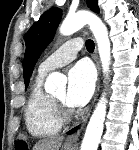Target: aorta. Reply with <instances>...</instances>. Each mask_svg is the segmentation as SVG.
I'll return each instance as SVG.
<instances>
[{"mask_svg": "<svg viewBox=\"0 0 139 150\" xmlns=\"http://www.w3.org/2000/svg\"><path fill=\"white\" fill-rule=\"evenodd\" d=\"M85 25H89L95 37L103 73L107 78L111 60L110 40L107 27L97 15L89 11H79L73 15H68L60 26V33L62 35H71ZM65 84L66 80L61 75L52 73L47 78L45 88L48 92H52L57 86L64 87ZM106 103L107 99L105 98V93H103L91 115L80 150H97L104 128Z\"/></svg>", "mask_w": 139, "mask_h": 150, "instance_id": "762f6f07", "label": "aorta"}]
</instances>
